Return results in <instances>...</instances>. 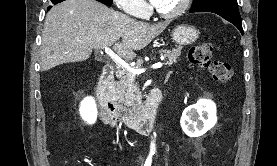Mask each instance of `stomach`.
<instances>
[{
  "label": "stomach",
  "instance_id": "1",
  "mask_svg": "<svg viewBox=\"0 0 277 166\" xmlns=\"http://www.w3.org/2000/svg\"><path fill=\"white\" fill-rule=\"evenodd\" d=\"M199 37L198 30L191 25H178L172 32V39L179 45H190Z\"/></svg>",
  "mask_w": 277,
  "mask_h": 166
}]
</instances>
